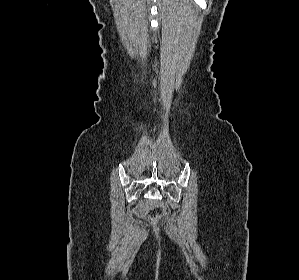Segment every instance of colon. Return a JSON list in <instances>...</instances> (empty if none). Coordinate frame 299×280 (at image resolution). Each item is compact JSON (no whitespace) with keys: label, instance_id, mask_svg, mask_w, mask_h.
Wrapping results in <instances>:
<instances>
[{"label":"colon","instance_id":"1","mask_svg":"<svg viewBox=\"0 0 299 280\" xmlns=\"http://www.w3.org/2000/svg\"><path fill=\"white\" fill-rule=\"evenodd\" d=\"M166 213V209L162 206H155L151 209L149 213V219L151 221H156L160 219Z\"/></svg>","mask_w":299,"mask_h":280}]
</instances>
